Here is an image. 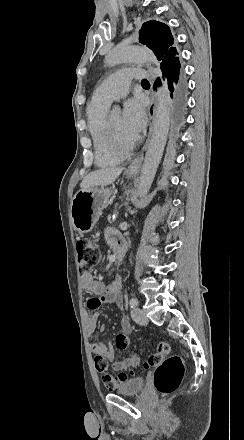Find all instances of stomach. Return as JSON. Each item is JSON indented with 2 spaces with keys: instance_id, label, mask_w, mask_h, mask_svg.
Masks as SVG:
<instances>
[{
  "instance_id": "1",
  "label": "stomach",
  "mask_w": 244,
  "mask_h": 440,
  "mask_svg": "<svg viewBox=\"0 0 244 440\" xmlns=\"http://www.w3.org/2000/svg\"><path fill=\"white\" fill-rule=\"evenodd\" d=\"M126 176L133 178V174ZM112 194H115V188H81L76 192L70 206V218L78 234H87L93 230L100 212L106 208Z\"/></svg>"
}]
</instances>
